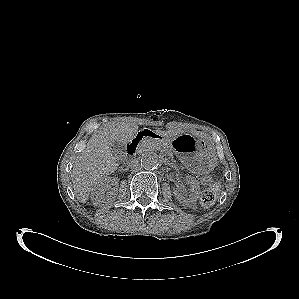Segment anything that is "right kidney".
<instances>
[{"label": "right kidney", "mask_w": 299, "mask_h": 299, "mask_svg": "<svg viewBox=\"0 0 299 299\" xmlns=\"http://www.w3.org/2000/svg\"><path fill=\"white\" fill-rule=\"evenodd\" d=\"M119 185L118 179L105 177L101 179L91 190V200L95 206H104L115 197Z\"/></svg>", "instance_id": "right-kidney-1"}]
</instances>
